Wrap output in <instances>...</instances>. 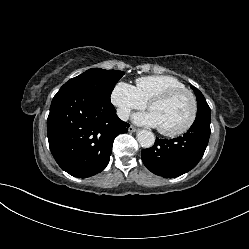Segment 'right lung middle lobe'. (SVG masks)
<instances>
[{
    "instance_id": "1",
    "label": "right lung middle lobe",
    "mask_w": 249,
    "mask_h": 249,
    "mask_svg": "<svg viewBox=\"0 0 249 249\" xmlns=\"http://www.w3.org/2000/svg\"><path fill=\"white\" fill-rule=\"evenodd\" d=\"M124 75L121 71L92 68L67 81L62 87H77L94 93L110 102V95L118 80Z\"/></svg>"
}]
</instances>
